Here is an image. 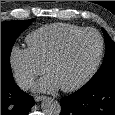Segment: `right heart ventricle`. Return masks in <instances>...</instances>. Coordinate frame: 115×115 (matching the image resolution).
I'll use <instances>...</instances> for the list:
<instances>
[{"instance_id": "right-heart-ventricle-1", "label": "right heart ventricle", "mask_w": 115, "mask_h": 115, "mask_svg": "<svg viewBox=\"0 0 115 115\" xmlns=\"http://www.w3.org/2000/svg\"><path fill=\"white\" fill-rule=\"evenodd\" d=\"M84 29L68 23H52L41 26L26 37V43L33 57L45 66L49 57L72 34Z\"/></svg>"}]
</instances>
